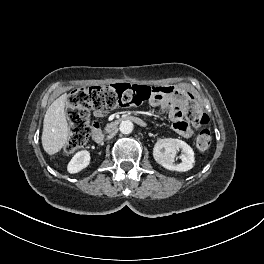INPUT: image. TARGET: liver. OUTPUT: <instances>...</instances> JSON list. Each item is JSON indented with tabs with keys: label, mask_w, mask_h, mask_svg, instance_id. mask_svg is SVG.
<instances>
[{
	"label": "liver",
	"mask_w": 264,
	"mask_h": 264,
	"mask_svg": "<svg viewBox=\"0 0 264 264\" xmlns=\"http://www.w3.org/2000/svg\"><path fill=\"white\" fill-rule=\"evenodd\" d=\"M66 94L57 98L47 109L42 132V146L53 155L59 152L68 140V123L65 114Z\"/></svg>",
	"instance_id": "1"
}]
</instances>
